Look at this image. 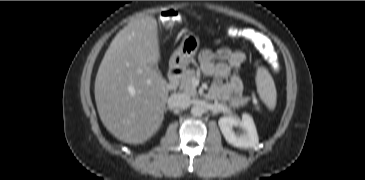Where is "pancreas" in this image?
Returning a JSON list of instances; mask_svg holds the SVG:
<instances>
[{
	"mask_svg": "<svg viewBox=\"0 0 365 180\" xmlns=\"http://www.w3.org/2000/svg\"><path fill=\"white\" fill-rule=\"evenodd\" d=\"M196 77L194 70H186L180 79V91L185 94L195 97L197 95L196 87L192 84V80ZM247 102L246 98L236 99L231 102L233 107H239L245 105Z\"/></svg>",
	"mask_w": 365,
	"mask_h": 180,
	"instance_id": "1",
	"label": "pancreas"
}]
</instances>
